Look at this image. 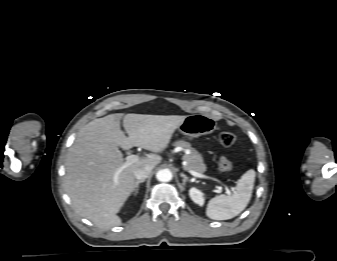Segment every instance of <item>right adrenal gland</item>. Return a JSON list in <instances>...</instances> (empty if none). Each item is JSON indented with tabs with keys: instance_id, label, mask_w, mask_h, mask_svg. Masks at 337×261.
<instances>
[{
	"instance_id": "2a0ac1e0",
	"label": "right adrenal gland",
	"mask_w": 337,
	"mask_h": 261,
	"mask_svg": "<svg viewBox=\"0 0 337 261\" xmlns=\"http://www.w3.org/2000/svg\"><path fill=\"white\" fill-rule=\"evenodd\" d=\"M144 181L145 180H138V181L135 182L134 189H133L134 195H137L138 190H139V184L144 182Z\"/></svg>"
}]
</instances>
